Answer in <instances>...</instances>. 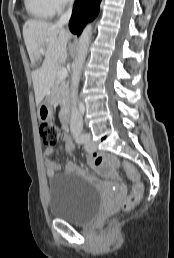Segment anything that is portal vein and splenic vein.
<instances>
[{
    "label": "portal vein and splenic vein",
    "mask_w": 174,
    "mask_h": 258,
    "mask_svg": "<svg viewBox=\"0 0 174 258\" xmlns=\"http://www.w3.org/2000/svg\"><path fill=\"white\" fill-rule=\"evenodd\" d=\"M40 52L43 54L44 53V49L43 48L40 49ZM57 75H58L59 78L64 79V78L67 77V70L64 69V68L60 69V70H58Z\"/></svg>",
    "instance_id": "portal-vein-and-splenic-vein-1"
}]
</instances>
